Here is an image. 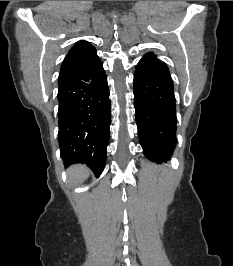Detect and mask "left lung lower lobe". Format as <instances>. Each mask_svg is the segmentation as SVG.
I'll return each instance as SVG.
<instances>
[{"mask_svg": "<svg viewBox=\"0 0 233 266\" xmlns=\"http://www.w3.org/2000/svg\"><path fill=\"white\" fill-rule=\"evenodd\" d=\"M134 105L139 141L146 157L167 162L176 143V103L168 67L146 54L134 73Z\"/></svg>", "mask_w": 233, "mask_h": 266, "instance_id": "0a47b994", "label": "left lung lower lobe"}]
</instances>
